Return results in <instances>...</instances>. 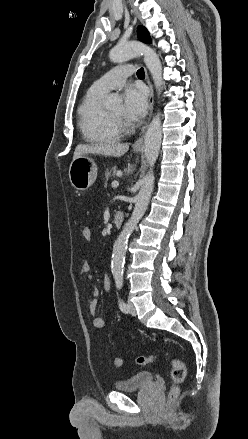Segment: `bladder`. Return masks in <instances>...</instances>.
Instances as JSON below:
<instances>
[{"label": "bladder", "instance_id": "obj_1", "mask_svg": "<svg viewBox=\"0 0 248 439\" xmlns=\"http://www.w3.org/2000/svg\"><path fill=\"white\" fill-rule=\"evenodd\" d=\"M154 382V375L149 371H140L130 378L118 381L114 384V388L120 392H134L142 390Z\"/></svg>", "mask_w": 248, "mask_h": 439}]
</instances>
